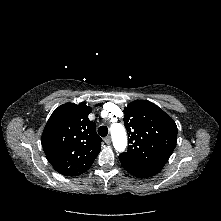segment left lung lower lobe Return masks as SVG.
<instances>
[{"label": "left lung lower lobe", "instance_id": "left-lung-lower-lobe-1", "mask_svg": "<svg viewBox=\"0 0 221 221\" xmlns=\"http://www.w3.org/2000/svg\"><path fill=\"white\" fill-rule=\"evenodd\" d=\"M122 166L126 169L127 172L132 174L133 176L137 178H147V177H152L159 173L163 167L160 166H148V167H135V166H130L126 164H122Z\"/></svg>", "mask_w": 221, "mask_h": 221}]
</instances>
